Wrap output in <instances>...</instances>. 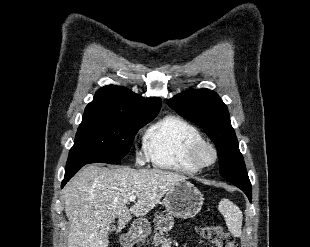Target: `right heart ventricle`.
Here are the masks:
<instances>
[{
    "label": "right heart ventricle",
    "instance_id": "obj_1",
    "mask_svg": "<svg viewBox=\"0 0 310 247\" xmlns=\"http://www.w3.org/2000/svg\"><path fill=\"white\" fill-rule=\"evenodd\" d=\"M203 139L200 131L185 119L167 115L146 130L143 137L145 153L157 168L181 173L198 171L188 160V149Z\"/></svg>",
    "mask_w": 310,
    "mask_h": 247
}]
</instances>
